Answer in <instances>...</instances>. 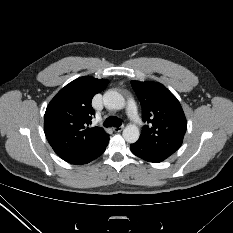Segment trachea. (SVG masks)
<instances>
[{
	"instance_id": "trachea-1",
	"label": "trachea",
	"mask_w": 233,
	"mask_h": 233,
	"mask_svg": "<svg viewBox=\"0 0 233 233\" xmlns=\"http://www.w3.org/2000/svg\"><path fill=\"white\" fill-rule=\"evenodd\" d=\"M105 127H119L121 122L115 117H108L104 122Z\"/></svg>"
}]
</instances>
